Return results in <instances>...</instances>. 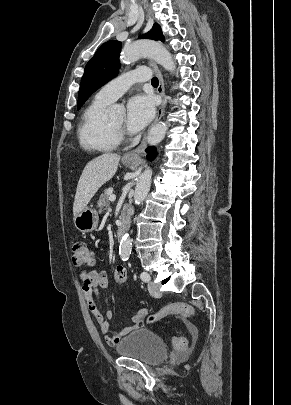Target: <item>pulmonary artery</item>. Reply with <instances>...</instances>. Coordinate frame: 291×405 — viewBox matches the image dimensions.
I'll list each match as a JSON object with an SVG mask.
<instances>
[{
    "label": "pulmonary artery",
    "mask_w": 291,
    "mask_h": 405,
    "mask_svg": "<svg viewBox=\"0 0 291 405\" xmlns=\"http://www.w3.org/2000/svg\"><path fill=\"white\" fill-rule=\"evenodd\" d=\"M150 79L151 71L148 68H138L128 71L103 86L96 94V97L104 101L113 102L134 83L145 82Z\"/></svg>",
    "instance_id": "1"
}]
</instances>
